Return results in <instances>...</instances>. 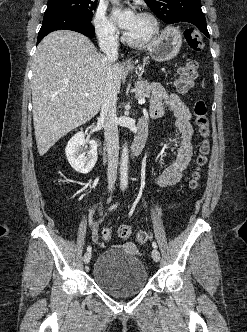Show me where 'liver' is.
I'll return each mask as SVG.
<instances>
[{
  "mask_svg": "<svg viewBox=\"0 0 247 332\" xmlns=\"http://www.w3.org/2000/svg\"><path fill=\"white\" fill-rule=\"evenodd\" d=\"M32 71L33 122L40 156L99 112L107 84L119 93L123 72L120 64L98 53L87 37L68 30L54 31L40 42Z\"/></svg>",
  "mask_w": 247,
  "mask_h": 332,
  "instance_id": "6515ba94",
  "label": "liver"
}]
</instances>
